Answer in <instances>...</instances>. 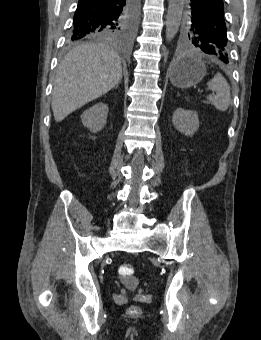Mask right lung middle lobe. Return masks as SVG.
Here are the masks:
<instances>
[{
	"instance_id": "dd1d6c3e",
	"label": "right lung middle lobe",
	"mask_w": 261,
	"mask_h": 340,
	"mask_svg": "<svg viewBox=\"0 0 261 340\" xmlns=\"http://www.w3.org/2000/svg\"><path fill=\"white\" fill-rule=\"evenodd\" d=\"M138 14V0H131L119 17L98 24L86 31L71 30L67 38L69 44L85 39L127 40L131 37Z\"/></svg>"
}]
</instances>
